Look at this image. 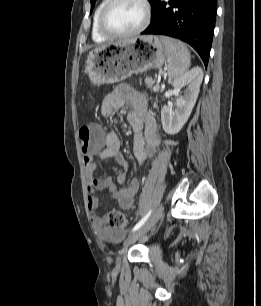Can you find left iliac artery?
I'll return each mask as SVG.
<instances>
[{"mask_svg":"<svg viewBox=\"0 0 261 306\" xmlns=\"http://www.w3.org/2000/svg\"><path fill=\"white\" fill-rule=\"evenodd\" d=\"M151 213H152V209L149 210V212L133 227L132 232L139 229L147 221V219L150 217Z\"/></svg>","mask_w":261,"mask_h":306,"instance_id":"44dca946","label":"left iliac artery"}]
</instances>
